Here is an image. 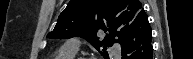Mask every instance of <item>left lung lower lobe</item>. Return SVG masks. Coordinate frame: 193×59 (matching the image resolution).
Returning <instances> with one entry per match:
<instances>
[{"mask_svg":"<svg viewBox=\"0 0 193 59\" xmlns=\"http://www.w3.org/2000/svg\"><path fill=\"white\" fill-rule=\"evenodd\" d=\"M119 43L122 59H153L151 27L145 11L134 19Z\"/></svg>","mask_w":193,"mask_h":59,"instance_id":"0a47b994","label":"left lung lower lobe"}]
</instances>
